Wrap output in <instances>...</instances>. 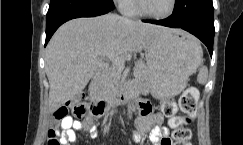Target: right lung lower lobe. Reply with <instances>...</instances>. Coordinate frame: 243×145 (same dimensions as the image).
Here are the masks:
<instances>
[{
	"mask_svg": "<svg viewBox=\"0 0 243 145\" xmlns=\"http://www.w3.org/2000/svg\"><path fill=\"white\" fill-rule=\"evenodd\" d=\"M113 8V0H51L46 16L45 46L64 22L78 17L103 15Z\"/></svg>",
	"mask_w": 243,
	"mask_h": 145,
	"instance_id": "1",
	"label": "right lung lower lobe"
}]
</instances>
